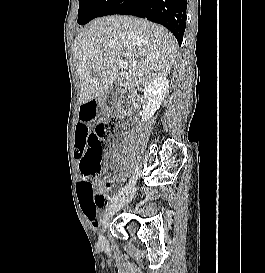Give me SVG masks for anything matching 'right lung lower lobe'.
Wrapping results in <instances>:
<instances>
[{"label":"right lung lower lobe","instance_id":"98d812e1","mask_svg":"<svg viewBox=\"0 0 265 273\" xmlns=\"http://www.w3.org/2000/svg\"><path fill=\"white\" fill-rule=\"evenodd\" d=\"M186 0H117L107 15H134L169 29L179 45L186 28Z\"/></svg>","mask_w":265,"mask_h":273}]
</instances>
